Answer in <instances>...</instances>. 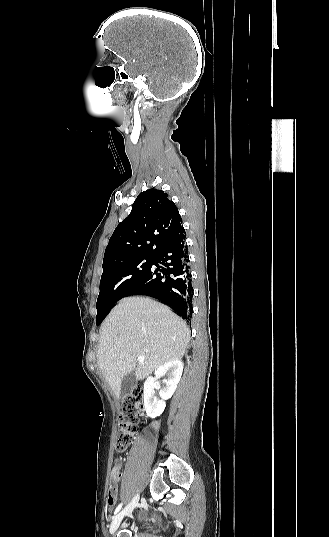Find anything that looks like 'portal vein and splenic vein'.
<instances>
[{"label":"portal vein and splenic vein","instance_id":"obj_1","mask_svg":"<svg viewBox=\"0 0 329 537\" xmlns=\"http://www.w3.org/2000/svg\"><path fill=\"white\" fill-rule=\"evenodd\" d=\"M137 360H138L139 362H143V361L145 360V357H144V356H138V357H137Z\"/></svg>","mask_w":329,"mask_h":537}]
</instances>
